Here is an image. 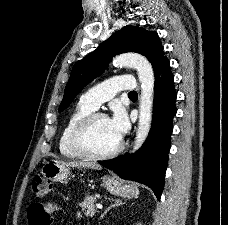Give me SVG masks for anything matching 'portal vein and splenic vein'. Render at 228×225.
I'll return each mask as SVG.
<instances>
[{"label":"portal vein and splenic vein","mask_w":228,"mask_h":225,"mask_svg":"<svg viewBox=\"0 0 228 225\" xmlns=\"http://www.w3.org/2000/svg\"><path fill=\"white\" fill-rule=\"evenodd\" d=\"M97 209H102V205H97Z\"/></svg>","instance_id":"1"}]
</instances>
